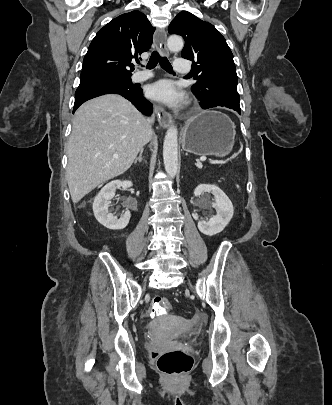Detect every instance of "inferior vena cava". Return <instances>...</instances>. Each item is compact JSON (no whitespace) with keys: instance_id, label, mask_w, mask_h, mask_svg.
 <instances>
[{"instance_id":"602c4592","label":"inferior vena cava","mask_w":332,"mask_h":405,"mask_svg":"<svg viewBox=\"0 0 332 405\" xmlns=\"http://www.w3.org/2000/svg\"><path fill=\"white\" fill-rule=\"evenodd\" d=\"M154 121V116H152V117H150V118H148L147 119V124H148V127H149V130L152 132V129H151V123Z\"/></svg>"}]
</instances>
